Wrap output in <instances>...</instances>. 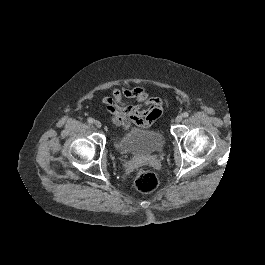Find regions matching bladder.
<instances>
[{"label": "bladder", "instance_id": "31cf9c89", "mask_svg": "<svg viewBox=\"0 0 265 265\" xmlns=\"http://www.w3.org/2000/svg\"><path fill=\"white\" fill-rule=\"evenodd\" d=\"M115 148L131 155H151L162 150L165 136L162 131L133 128L123 135H114Z\"/></svg>", "mask_w": 265, "mask_h": 265}]
</instances>
